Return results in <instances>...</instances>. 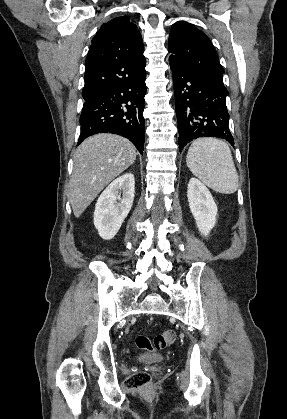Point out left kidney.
<instances>
[{
    "label": "left kidney",
    "mask_w": 287,
    "mask_h": 419,
    "mask_svg": "<svg viewBox=\"0 0 287 419\" xmlns=\"http://www.w3.org/2000/svg\"><path fill=\"white\" fill-rule=\"evenodd\" d=\"M191 213L200 233L207 236L216 224L217 206L208 188L196 178H191L187 188Z\"/></svg>",
    "instance_id": "left-kidney-1"
}]
</instances>
